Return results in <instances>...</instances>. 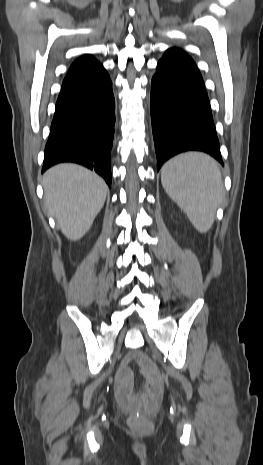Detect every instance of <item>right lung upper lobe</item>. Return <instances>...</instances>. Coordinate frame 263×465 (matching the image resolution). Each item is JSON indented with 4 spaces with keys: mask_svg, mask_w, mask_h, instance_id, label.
Returning a JSON list of instances; mask_svg holds the SVG:
<instances>
[{
    "mask_svg": "<svg viewBox=\"0 0 263 465\" xmlns=\"http://www.w3.org/2000/svg\"><path fill=\"white\" fill-rule=\"evenodd\" d=\"M101 66V64L92 56L84 55L77 59L70 67L68 74L92 69Z\"/></svg>",
    "mask_w": 263,
    "mask_h": 465,
    "instance_id": "cb5924a9",
    "label": "right lung upper lobe"
}]
</instances>
